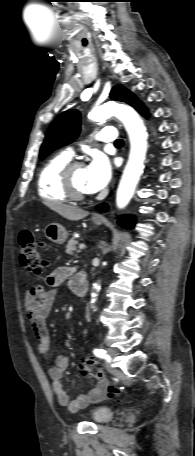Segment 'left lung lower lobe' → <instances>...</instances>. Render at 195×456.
Here are the masks:
<instances>
[{
  "label": "left lung lower lobe",
  "instance_id": "1",
  "mask_svg": "<svg viewBox=\"0 0 195 456\" xmlns=\"http://www.w3.org/2000/svg\"><path fill=\"white\" fill-rule=\"evenodd\" d=\"M136 110L146 116L147 115V111H146V108L143 106V104L141 103L137 108ZM98 210H100L101 212H106L108 210V206L106 204H101L97 207ZM118 223L123 226V227H126L128 229L132 228L133 225H134V219L133 217H130V216H127V217H122L118 220Z\"/></svg>",
  "mask_w": 195,
  "mask_h": 456
}]
</instances>
